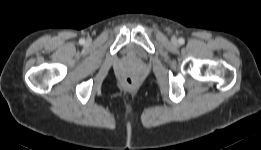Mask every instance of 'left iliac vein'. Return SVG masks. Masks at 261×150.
Returning <instances> with one entry per match:
<instances>
[{"label":"left iliac vein","instance_id":"obj_1","mask_svg":"<svg viewBox=\"0 0 261 150\" xmlns=\"http://www.w3.org/2000/svg\"><path fill=\"white\" fill-rule=\"evenodd\" d=\"M172 42H173L174 44L177 43V39H176V37H173V38H172Z\"/></svg>","mask_w":261,"mask_h":150}]
</instances>
